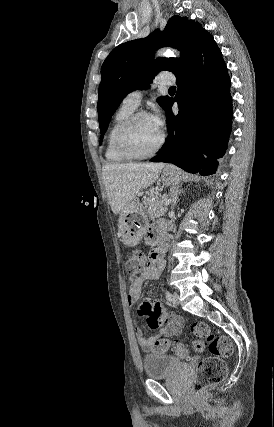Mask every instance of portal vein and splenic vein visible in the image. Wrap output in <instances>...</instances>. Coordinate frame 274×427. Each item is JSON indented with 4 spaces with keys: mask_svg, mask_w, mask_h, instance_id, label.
<instances>
[{
    "mask_svg": "<svg viewBox=\"0 0 274 427\" xmlns=\"http://www.w3.org/2000/svg\"><path fill=\"white\" fill-rule=\"evenodd\" d=\"M168 204H169V202H167V200H166V204H165V206H168Z\"/></svg>",
    "mask_w": 274,
    "mask_h": 427,
    "instance_id": "1",
    "label": "portal vein and splenic vein"
}]
</instances>
